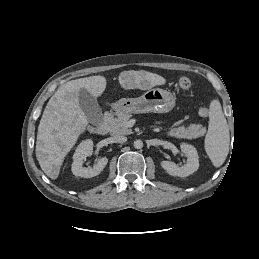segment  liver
I'll use <instances>...</instances> for the list:
<instances>
[{
  "instance_id": "obj_1",
  "label": "liver",
  "mask_w": 259,
  "mask_h": 259,
  "mask_svg": "<svg viewBox=\"0 0 259 259\" xmlns=\"http://www.w3.org/2000/svg\"><path fill=\"white\" fill-rule=\"evenodd\" d=\"M118 80L126 90H148L166 83L164 77L143 70L123 71ZM106 85V78L101 75L71 80L58 88L48 101L38 126L36 158L49 178H58L66 155L88 126V119L79 105L80 89L99 97Z\"/></svg>"
}]
</instances>
